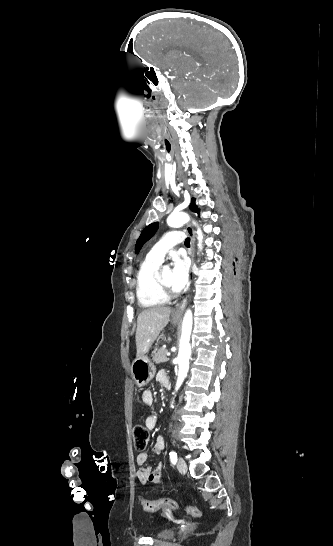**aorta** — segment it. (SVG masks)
Wrapping results in <instances>:
<instances>
[{"mask_svg":"<svg viewBox=\"0 0 333 546\" xmlns=\"http://www.w3.org/2000/svg\"><path fill=\"white\" fill-rule=\"evenodd\" d=\"M189 219L190 218L186 213H183V212L172 213L169 215L167 219V224L170 227L178 228L184 225L185 223H187ZM197 234H198V240H199L198 246L201 249L202 248L201 242L203 239V235L200 229H198ZM164 271H169V268L164 267ZM192 324H193L192 312L191 310H187L183 318L182 335L180 339V347H179V353L177 358L178 359V375H177V382L175 386L176 391L181 387L189 370V361L191 358L190 336L192 331Z\"/></svg>","mask_w":333,"mask_h":546,"instance_id":"1","label":"aorta"}]
</instances>
